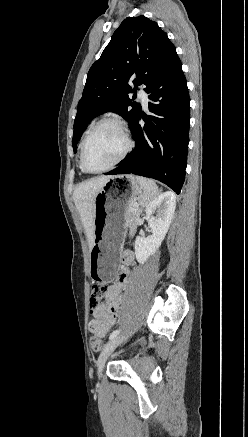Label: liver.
<instances>
[{
	"label": "liver",
	"instance_id": "6515ba94",
	"mask_svg": "<svg viewBox=\"0 0 248 437\" xmlns=\"http://www.w3.org/2000/svg\"><path fill=\"white\" fill-rule=\"evenodd\" d=\"M112 176H100L79 184L73 192V200L84 225L89 249L94 244V202L95 196Z\"/></svg>",
	"mask_w": 248,
	"mask_h": 437
}]
</instances>
